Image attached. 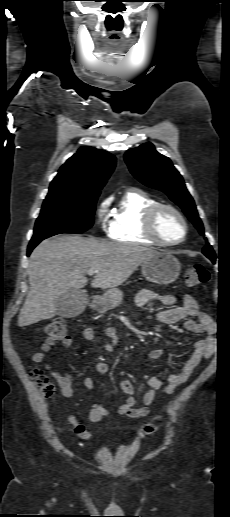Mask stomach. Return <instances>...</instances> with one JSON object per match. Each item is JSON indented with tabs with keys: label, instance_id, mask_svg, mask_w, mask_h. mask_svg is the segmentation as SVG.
I'll return each mask as SVG.
<instances>
[{
	"label": "stomach",
	"instance_id": "0dacf381",
	"mask_svg": "<svg viewBox=\"0 0 230 517\" xmlns=\"http://www.w3.org/2000/svg\"><path fill=\"white\" fill-rule=\"evenodd\" d=\"M180 270L181 265L178 259L168 252H157L141 265L142 275L146 280L159 285L174 282L178 278ZM122 299L123 293L119 289H109L101 296L98 308L101 311L114 309L120 305Z\"/></svg>",
	"mask_w": 230,
	"mask_h": 517
}]
</instances>
